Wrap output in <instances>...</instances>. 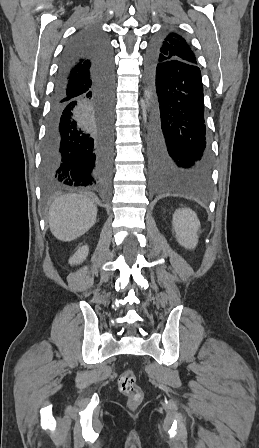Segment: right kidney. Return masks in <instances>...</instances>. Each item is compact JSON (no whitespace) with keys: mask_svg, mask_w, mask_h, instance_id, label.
<instances>
[{"mask_svg":"<svg viewBox=\"0 0 259 448\" xmlns=\"http://www.w3.org/2000/svg\"><path fill=\"white\" fill-rule=\"evenodd\" d=\"M88 252V246H81V248H78L77 252H75L74 256H71L69 264H82V262L86 260Z\"/></svg>","mask_w":259,"mask_h":448,"instance_id":"obj_1","label":"right kidney"}]
</instances>
